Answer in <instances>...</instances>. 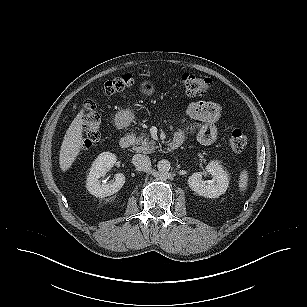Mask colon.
Wrapping results in <instances>:
<instances>
[{
	"label": "colon",
	"instance_id": "5ec220e1",
	"mask_svg": "<svg viewBox=\"0 0 307 307\" xmlns=\"http://www.w3.org/2000/svg\"><path fill=\"white\" fill-rule=\"evenodd\" d=\"M180 82L184 93L191 97L206 96L212 86V81L206 77H199L193 74L184 73L180 76ZM132 85V78L129 75L115 78L107 82L104 87V94L115 96L124 93ZM83 135L82 148L89 149L100 139L101 117L92 103L85 104L82 113ZM248 145V138L240 129H233L229 136V146L235 152L243 151Z\"/></svg>",
	"mask_w": 307,
	"mask_h": 307
}]
</instances>
